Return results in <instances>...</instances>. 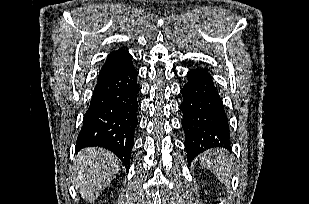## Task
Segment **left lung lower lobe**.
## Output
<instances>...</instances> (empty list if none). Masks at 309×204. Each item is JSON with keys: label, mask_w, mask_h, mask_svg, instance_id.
Returning <instances> with one entry per match:
<instances>
[{"label": "left lung lower lobe", "mask_w": 309, "mask_h": 204, "mask_svg": "<svg viewBox=\"0 0 309 204\" xmlns=\"http://www.w3.org/2000/svg\"><path fill=\"white\" fill-rule=\"evenodd\" d=\"M181 94L188 163L209 148L230 150L228 118L211 75L200 68L189 71Z\"/></svg>", "instance_id": "1"}]
</instances>
